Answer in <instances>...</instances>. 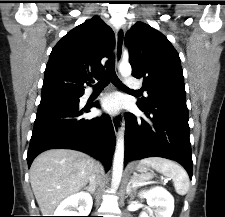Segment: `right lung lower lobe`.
Returning <instances> with one entry per match:
<instances>
[{"label":"right lung lower lobe","mask_w":225,"mask_h":217,"mask_svg":"<svg viewBox=\"0 0 225 217\" xmlns=\"http://www.w3.org/2000/svg\"><path fill=\"white\" fill-rule=\"evenodd\" d=\"M93 107L99 108L98 102ZM89 109L80 110L79 102H40L27 154L28 167L41 152L65 148L101 160L108 170L115 145L113 125L107 115L91 120L80 118Z\"/></svg>","instance_id":"right-lung-lower-lobe-1"}]
</instances>
